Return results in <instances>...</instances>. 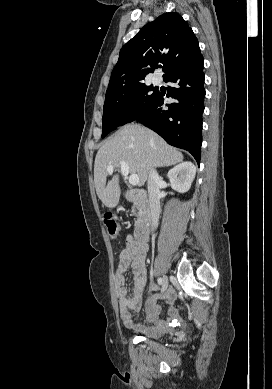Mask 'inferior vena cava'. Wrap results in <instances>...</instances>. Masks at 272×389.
<instances>
[{
  "instance_id": "inferior-vena-cava-1",
  "label": "inferior vena cava",
  "mask_w": 272,
  "mask_h": 389,
  "mask_svg": "<svg viewBox=\"0 0 272 389\" xmlns=\"http://www.w3.org/2000/svg\"><path fill=\"white\" fill-rule=\"evenodd\" d=\"M160 186L161 178L158 172L152 168L149 172L147 189L149 195V210L151 217V229L154 230L158 226L160 216Z\"/></svg>"
}]
</instances>
